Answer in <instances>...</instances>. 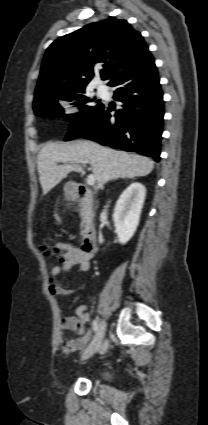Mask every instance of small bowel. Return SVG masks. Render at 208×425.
Returning <instances> with one entry per match:
<instances>
[{
    "label": "small bowel",
    "instance_id": "c3829d8e",
    "mask_svg": "<svg viewBox=\"0 0 208 425\" xmlns=\"http://www.w3.org/2000/svg\"><path fill=\"white\" fill-rule=\"evenodd\" d=\"M62 254L59 256L57 265L52 269L48 289L52 295L68 296L72 290L64 287L57 281L62 272H69L74 266H78L80 271L86 272L91 267L92 254L85 253L82 248L69 243L59 242L55 247ZM90 314L85 305H80L76 309V316L63 317L61 326L63 331H74L78 337L75 339L63 340L61 347L64 353L70 354L81 351L88 344L91 338V331L85 326L90 322Z\"/></svg>",
    "mask_w": 208,
    "mask_h": 425
}]
</instances>
